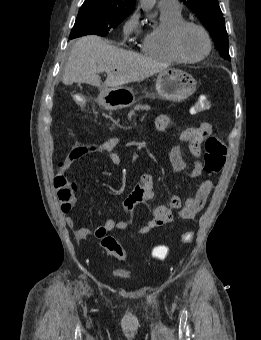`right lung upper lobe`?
I'll use <instances>...</instances> for the list:
<instances>
[{
	"mask_svg": "<svg viewBox=\"0 0 261 340\" xmlns=\"http://www.w3.org/2000/svg\"><path fill=\"white\" fill-rule=\"evenodd\" d=\"M135 5V0H85L82 6H95L114 10L129 15Z\"/></svg>",
	"mask_w": 261,
	"mask_h": 340,
	"instance_id": "obj_1",
	"label": "right lung upper lobe"
}]
</instances>
